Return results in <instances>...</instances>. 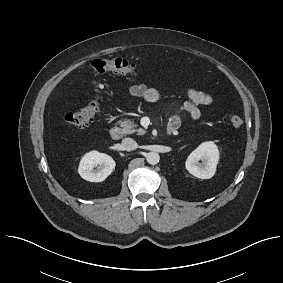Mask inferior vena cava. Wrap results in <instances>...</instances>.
<instances>
[{"label": "inferior vena cava", "instance_id": "obj_1", "mask_svg": "<svg viewBox=\"0 0 283 283\" xmlns=\"http://www.w3.org/2000/svg\"><path fill=\"white\" fill-rule=\"evenodd\" d=\"M122 148L126 151H132L138 148V144L132 138H124L122 140Z\"/></svg>", "mask_w": 283, "mask_h": 283}]
</instances>
